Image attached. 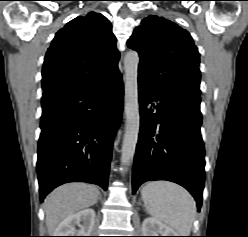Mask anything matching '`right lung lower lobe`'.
<instances>
[{"instance_id":"98d812e1","label":"right lung lower lobe","mask_w":248,"mask_h":237,"mask_svg":"<svg viewBox=\"0 0 248 237\" xmlns=\"http://www.w3.org/2000/svg\"><path fill=\"white\" fill-rule=\"evenodd\" d=\"M37 174L40 200L73 181L107 189L113 138L123 109L118 71L83 88L42 97Z\"/></svg>"}]
</instances>
